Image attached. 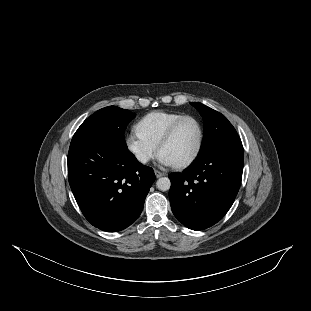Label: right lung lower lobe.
I'll list each match as a JSON object with an SVG mask.
<instances>
[{"instance_id": "right-lung-lower-lobe-1", "label": "right lung lower lobe", "mask_w": 311, "mask_h": 311, "mask_svg": "<svg viewBox=\"0 0 311 311\" xmlns=\"http://www.w3.org/2000/svg\"><path fill=\"white\" fill-rule=\"evenodd\" d=\"M68 179L85 218L117 232L139 217L155 175L126 145L94 138L69 148Z\"/></svg>"}]
</instances>
